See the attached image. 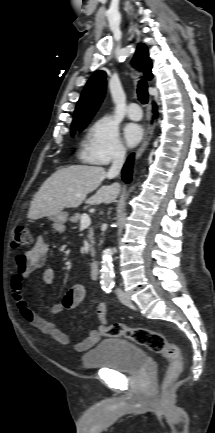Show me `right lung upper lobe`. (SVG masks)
I'll return each mask as SVG.
<instances>
[{"label":"right lung upper lobe","instance_id":"cb5924a9","mask_svg":"<svg viewBox=\"0 0 215 433\" xmlns=\"http://www.w3.org/2000/svg\"><path fill=\"white\" fill-rule=\"evenodd\" d=\"M132 63L135 67L143 71L148 80L152 78V64L148 55L147 47L144 44H139ZM105 77L106 73L98 70L87 82L77 103L73 123L90 121L94 116L105 95Z\"/></svg>","mask_w":215,"mask_h":433}]
</instances>
